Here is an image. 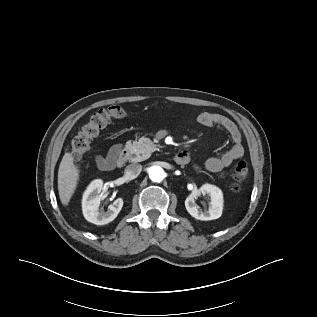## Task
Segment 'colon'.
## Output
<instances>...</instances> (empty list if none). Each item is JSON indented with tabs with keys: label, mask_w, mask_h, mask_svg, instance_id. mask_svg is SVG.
<instances>
[{
	"label": "colon",
	"mask_w": 317,
	"mask_h": 317,
	"mask_svg": "<svg viewBox=\"0 0 317 317\" xmlns=\"http://www.w3.org/2000/svg\"><path fill=\"white\" fill-rule=\"evenodd\" d=\"M127 112L120 106H110L95 112L89 122L85 124L71 141V154L79 161L89 149L91 141L104 129L112 119L123 118ZM249 167L245 161L237 162L232 168V190L238 192L241 183L247 179Z\"/></svg>",
	"instance_id": "colon-1"
}]
</instances>
